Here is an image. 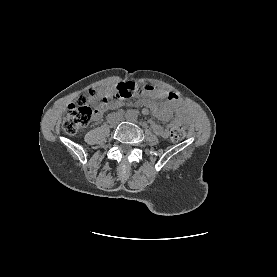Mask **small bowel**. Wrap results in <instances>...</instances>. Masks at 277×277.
<instances>
[{
	"label": "small bowel",
	"instance_id": "small-bowel-1",
	"mask_svg": "<svg viewBox=\"0 0 277 277\" xmlns=\"http://www.w3.org/2000/svg\"><path fill=\"white\" fill-rule=\"evenodd\" d=\"M114 90H106V94L113 93ZM138 93L140 95H146V94H152L156 99L160 101H151L149 99H145V104L147 107L142 109V113L144 115L149 114V111L151 110L157 117H159L161 120H169L174 114L178 119L188 121V117L183 112L181 108H178V99L177 96L168 91L160 90L156 87H147L144 90H139ZM122 105V100L117 99L113 100L107 107L98 109V111L94 115V121L98 122L102 114L105 110L109 108H114ZM153 130L155 133L163 138H167L170 136V129L164 128L159 124L153 123L152 124Z\"/></svg>",
	"mask_w": 277,
	"mask_h": 277
}]
</instances>
